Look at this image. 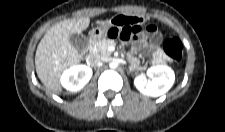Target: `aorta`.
I'll return each mask as SVG.
<instances>
[{
  "mask_svg": "<svg viewBox=\"0 0 225 132\" xmlns=\"http://www.w3.org/2000/svg\"><path fill=\"white\" fill-rule=\"evenodd\" d=\"M116 66H117V64H116L115 62H111V63H110V67H111V68H115Z\"/></svg>",
  "mask_w": 225,
  "mask_h": 132,
  "instance_id": "762f6f07",
  "label": "aorta"
}]
</instances>
